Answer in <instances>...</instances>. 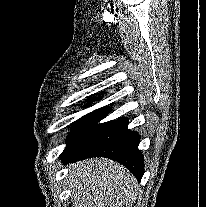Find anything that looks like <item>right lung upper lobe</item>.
<instances>
[{
	"mask_svg": "<svg viewBox=\"0 0 206 207\" xmlns=\"http://www.w3.org/2000/svg\"><path fill=\"white\" fill-rule=\"evenodd\" d=\"M99 99H100V97H99V98H97V99H96V98H95V99H94V98H92V100H99ZM89 100H90V99H89Z\"/></svg>",
	"mask_w": 206,
	"mask_h": 207,
	"instance_id": "right-lung-upper-lobe-1",
	"label": "right lung upper lobe"
}]
</instances>
